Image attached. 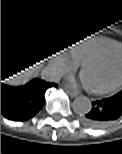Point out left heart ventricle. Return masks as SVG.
Returning a JSON list of instances; mask_svg holds the SVG:
<instances>
[{"label": "left heart ventricle", "mask_w": 122, "mask_h": 154, "mask_svg": "<svg viewBox=\"0 0 122 154\" xmlns=\"http://www.w3.org/2000/svg\"><path fill=\"white\" fill-rule=\"evenodd\" d=\"M122 76V52L107 53L83 70V81L90 88L107 86Z\"/></svg>", "instance_id": "left-heart-ventricle-1"}]
</instances>
